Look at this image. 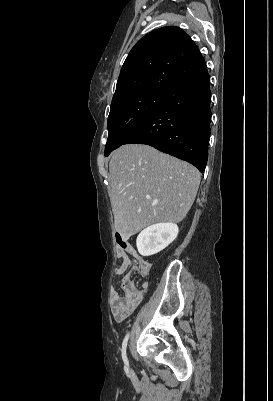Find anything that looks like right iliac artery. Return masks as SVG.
I'll return each instance as SVG.
<instances>
[{
	"label": "right iliac artery",
	"mask_w": 273,
	"mask_h": 401,
	"mask_svg": "<svg viewBox=\"0 0 273 401\" xmlns=\"http://www.w3.org/2000/svg\"><path fill=\"white\" fill-rule=\"evenodd\" d=\"M128 338H129V334H127L126 337L124 338V341L122 343V350H121L122 351V359L125 364L124 368H125L126 372H129V362H128L127 355H126V347H127Z\"/></svg>",
	"instance_id": "obj_1"
}]
</instances>
